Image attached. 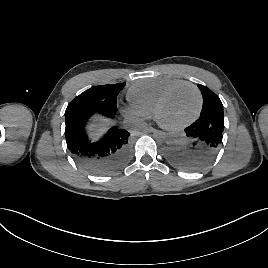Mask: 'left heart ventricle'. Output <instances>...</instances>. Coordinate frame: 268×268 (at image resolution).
<instances>
[{"instance_id": "b2bd125f", "label": "left heart ventricle", "mask_w": 268, "mask_h": 268, "mask_svg": "<svg viewBox=\"0 0 268 268\" xmlns=\"http://www.w3.org/2000/svg\"><path fill=\"white\" fill-rule=\"evenodd\" d=\"M198 105L196 92L190 87L177 90L164 104L160 119L168 125H178L191 118Z\"/></svg>"}]
</instances>
